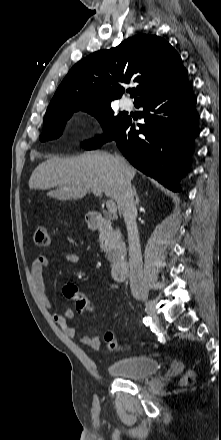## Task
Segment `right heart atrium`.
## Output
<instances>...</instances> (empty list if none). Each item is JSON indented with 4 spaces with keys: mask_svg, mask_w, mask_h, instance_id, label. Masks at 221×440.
Listing matches in <instances>:
<instances>
[{
    "mask_svg": "<svg viewBox=\"0 0 221 440\" xmlns=\"http://www.w3.org/2000/svg\"><path fill=\"white\" fill-rule=\"evenodd\" d=\"M102 123L99 117L93 116L88 122V128L92 132H97L101 129Z\"/></svg>",
    "mask_w": 221,
    "mask_h": 440,
    "instance_id": "right-heart-atrium-1",
    "label": "right heart atrium"
}]
</instances>
